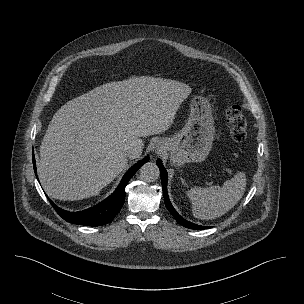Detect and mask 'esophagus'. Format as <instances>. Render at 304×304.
Here are the masks:
<instances>
[{
    "label": "esophagus",
    "instance_id": "esophagus-1",
    "mask_svg": "<svg viewBox=\"0 0 304 304\" xmlns=\"http://www.w3.org/2000/svg\"><path fill=\"white\" fill-rule=\"evenodd\" d=\"M163 149V146L160 144V143H156L154 146H153V152L154 153H160Z\"/></svg>",
    "mask_w": 304,
    "mask_h": 304
}]
</instances>
